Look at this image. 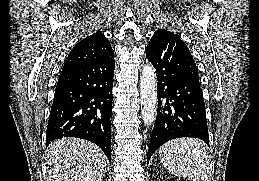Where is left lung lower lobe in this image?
<instances>
[{"mask_svg": "<svg viewBox=\"0 0 259 181\" xmlns=\"http://www.w3.org/2000/svg\"><path fill=\"white\" fill-rule=\"evenodd\" d=\"M146 58L157 74L158 110L148 150V161L165 142L193 137L209 145L205 104L200 85L185 72L184 50L177 38L149 42Z\"/></svg>", "mask_w": 259, "mask_h": 181, "instance_id": "0a47b994", "label": "left lung lower lobe"}]
</instances>
